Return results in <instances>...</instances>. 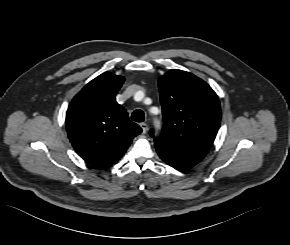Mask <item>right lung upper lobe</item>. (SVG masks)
<instances>
[{
    "instance_id": "1",
    "label": "right lung upper lobe",
    "mask_w": 290,
    "mask_h": 245,
    "mask_svg": "<svg viewBox=\"0 0 290 245\" xmlns=\"http://www.w3.org/2000/svg\"><path fill=\"white\" fill-rule=\"evenodd\" d=\"M124 77L105 72L71 101L66 129L76 152L88 163L107 168L118 161L142 129L130 121L115 96Z\"/></svg>"
}]
</instances>
